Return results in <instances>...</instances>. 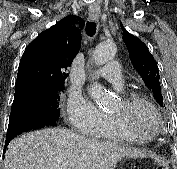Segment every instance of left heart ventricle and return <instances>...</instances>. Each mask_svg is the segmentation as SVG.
<instances>
[{
	"label": "left heart ventricle",
	"instance_id": "left-heart-ventricle-1",
	"mask_svg": "<svg viewBox=\"0 0 177 169\" xmlns=\"http://www.w3.org/2000/svg\"><path fill=\"white\" fill-rule=\"evenodd\" d=\"M123 111L120 98L110 109V113H118ZM129 129L135 135H140L143 132H149L158 125V120L155 115L145 107L138 106L129 112Z\"/></svg>",
	"mask_w": 177,
	"mask_h": 169
}]
</instances>
